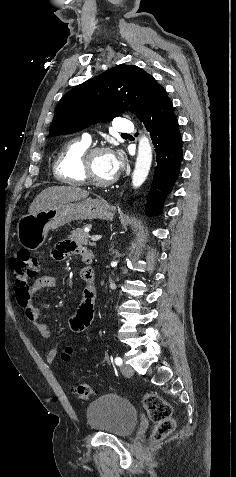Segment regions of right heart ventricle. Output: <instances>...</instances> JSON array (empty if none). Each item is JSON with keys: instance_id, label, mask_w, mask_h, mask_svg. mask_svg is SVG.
I'll return each mask as SVG.
<instances>
[{"instance_id": "obj_1", "label": "right heart ventricle", "mask_w": 236, "mask_h": 477, "mask_svg": "<svg viewBox=\"0 0 236 477\" xmlns=\"http://www.w3.org/2000/svg\"><path fill=\"white\" fill-rule=\"evenodd\" d=\"M88 149L89 145L82 140L67 142L54 161L53 171L55 177L60 182L69 185L84 184L81 173V159Z\"/></svg>"}]
</instances>
